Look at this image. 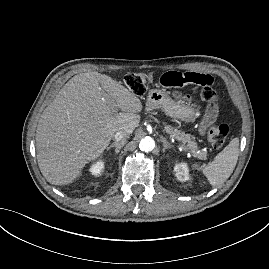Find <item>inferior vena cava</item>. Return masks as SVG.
<instances>
[{"instance_id":"inferior-vena-cava-1","label":"inferior vena cava","mask_w":269,"mask_h":269,"mask_svg":"<svg viewBox=\"0 0 269 269\" xmlns=\"http://www.w3.org/2000/svg\"><path fill=\"white\" fill-rule=\"evenodd\" d=\"M128 136H129V132L123 131V130H119V131H117L115 133L114 140L116 142H126Z\"/></svg>"}]
</instances>
